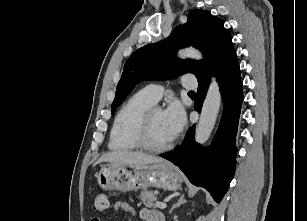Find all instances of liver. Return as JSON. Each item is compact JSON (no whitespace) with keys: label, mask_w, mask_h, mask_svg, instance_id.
Instances as JSON below:
<instances>
[{"label":"liver","mask_w":307,"mask_h":221,"mask_svg":"<svg viewBox=\"0 0 307 221\" xmlns=\"http://www.w3.org/2000/svg\"><path fill=\"white\" fill-rule=\"evenodd\" d=\"M164 161L159 157L148 155L142 152L114 151L102 155L94 166L102 162H112L125 165H146Z\"/></svg>","instance_id":"1"}]
</instances>
